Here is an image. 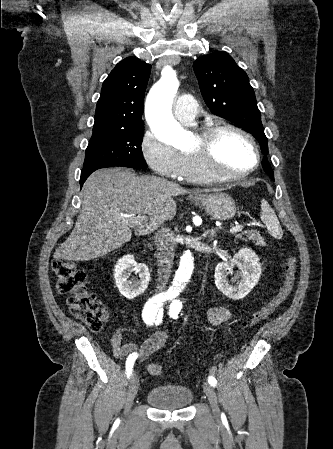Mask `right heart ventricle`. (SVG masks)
Wrapping results in <instances>:
<instances>
[{
	"instance_id": "e07e8e85",
	"label": "right heart ventricle",
	"mask_w": 333,
	"mask_h": 449,
	"mask_svg": "<svg viewBox=\"0 0 333 449\" xmlns=\"http://www.w3.org/2000/svg\"><path fill=\"white\" fill-rule=\"evenodd\" d=\"M182 156V168L180 178L189 182L205 183L210 182L203 172L201 171L196 159L191 153L181 154Z\"/></svg>"
}]
</instances>
